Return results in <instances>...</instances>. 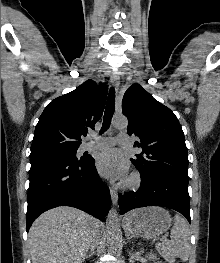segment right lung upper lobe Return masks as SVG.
<instances>
[{
    "mask_svg": "<svg viewBox=\"0 0 220 263\" xmlns=\"http://www.w3.org/2000/svg\"><path fill=\"white\" fill-rule=\"evenodd\" d=\"M107 90L87 80L49 103L36 125L31 153L78 148L81 136L101 118Z\"/></svg>",
    "mask_w": 220,
    "mask_h": 263,
    "instance_id": "obj_1",
    "label": "right lung upper lobe"
}]
</instances>
